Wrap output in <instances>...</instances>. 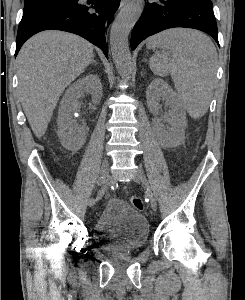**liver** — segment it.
<instances>
[{
    "mask_svg": "<svg viewBox=\"0 0 245 300\" xmlns=\"http://www.w3.org/2000/svg\"><path fill=\"white\" fill-rule=\"evenodd\" d=\"M93 58L91 43L62 31H43L23 45L16 59L18 88L36 137L45 134L61 94Z\"/></svg>",
    "mask_w": 245,
    "mask_h": 300,
    "instance_id": "6515ba94",
    "label": "liver"
}]
</instances>
